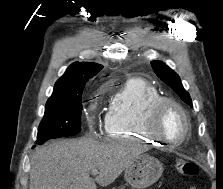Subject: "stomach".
I'll return each mask as SVG.
<instances>
[{
    "mask_svg": "<svg viewBox=\"0 0 223 189\" xmlns=\"http://www.w3.org/2000/svg\"><path fill=\"white\" fill-rule=\"evenodd\" d=\"M163 172L162 163L147 154L138 155L126 168L124 178L134 189L155 183Z\"/></svg>",
    "mask_w": 223,
    "mask_h": 189,
    "instance_id": "1",
    "label": "stomach"
}]
</instances>
